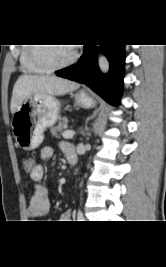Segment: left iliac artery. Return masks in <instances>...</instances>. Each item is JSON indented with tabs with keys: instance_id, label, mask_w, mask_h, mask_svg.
<instances>
[{
	"instance_id": "44dca946",
	"label": "left iliac artery",
	"mask_w": 166,
	"mask_h": 267,
	"mask_svg": "<svg viewBox=\"0 0 166 267\" xmlns=\"http://www.w3.org/2000/svg\"><path fill=\"white\" fill-rule=\"evenodd\" d=\"M77 219L78 221H83L84 220V216L81 210L78 211L77 213Z\"/></svg>"
}]
</instances>
